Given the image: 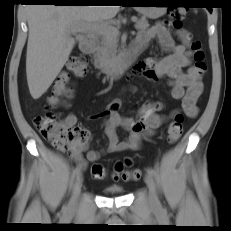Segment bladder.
<instances>
[{
  "label": "bladder",
  "mask_w": 231,
  "mask_h": 231,
  "mask_svg": "<svg viewBox=\"0 0 231 231\" xmlns=\"http://www.w3.org/2000/svg\"><path fill=\"white\" fill-rule=\"evenodd\" d=\"M124 189L120 186H109L105 188V192L108 194H121Z\"/></svg>",
  "instance_id": "1"
}]
</instances>
